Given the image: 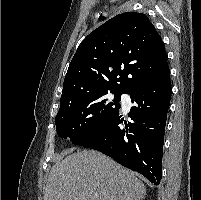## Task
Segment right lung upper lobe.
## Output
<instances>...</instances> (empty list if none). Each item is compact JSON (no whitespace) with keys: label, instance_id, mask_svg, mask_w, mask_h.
I'll return each instance as SVG.
<instances>
[{"label":"right lung upper lobe","instance_id":"cb5924a9","mask_svg":"<svg viewBox=\"0 0 201 200\" xmlns=\"http://www.w3.org/2000/svg\"><path fill=\"white\" fill-rule=\"evenodd\" d=\"M168 70L162 39L149 18L122 13L81 42L66 73L60 103L98 91L130 94Z\"/></svg>","mask_w":201,"mask_h":200}]
</instances>
